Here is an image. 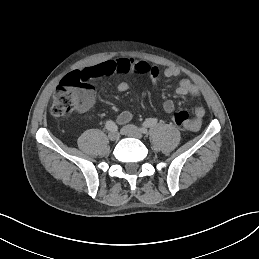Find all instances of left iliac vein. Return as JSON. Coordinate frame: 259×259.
<instances>
[{
  "mask_svg": "<svg viewBox=\"0 0 259 259\" xmlns=\"http://www.w3.org/2000/svg\"><path fill=\"white\" fill-rule=\"evenodd\" d=\"M123 133L127 136L141 139L143 137V133L141 129L134 125H126L123 127Z\"/></svg>",
  "mask_w": 259,
  "mask_h": 259,
  "instance_id": "obj_1",
  "label": "left iliac vein"
}]
</instances>
